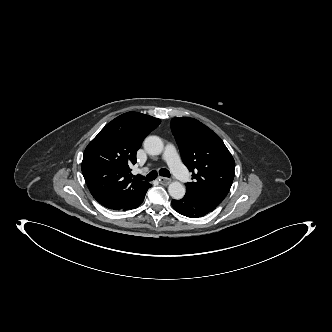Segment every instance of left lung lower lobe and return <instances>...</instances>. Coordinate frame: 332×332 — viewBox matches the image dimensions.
I'll return each mask as SVG.
<instances>
[{
    "mask_svg": "<svg viewBox=\"0 0 332 332\" xmlns=\"http://www.w3.org/2000/svg\"><path fill=\"white\" fill-rule=\"evenodd\" d=\"M172 206L178 213L190 218L204 216L215 209L189 194L181 200H172Z\"/></svg>",
    "mask_w": 332,
    "mask_h": 332,
    "instance_id": "0a47b994",
    "label": "left lung lower lobe"
}]
</instances>
